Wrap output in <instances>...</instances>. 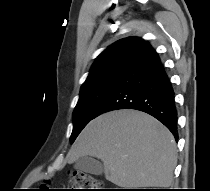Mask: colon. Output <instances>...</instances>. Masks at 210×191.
Masks as SVG:
<instances>
[{
	"mask_svg": "<svg viewBox=\"0 0 210 191\" xmlns=\"http://www.w3.org/2000/svg\"><path fill=\"white\" fill-rule=\"evenodd\" d=\"M71 181L72 191H104L102 182L87 173L75 172Z\"/></svg>",
	"mask_w": 210,
	"mask_h": 191,
	"instance_id": "5ec220e1",
	"label": "colon"
}]
</instances>
